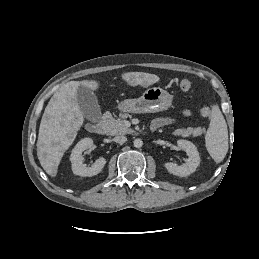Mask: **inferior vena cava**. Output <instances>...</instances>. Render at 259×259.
I'll list each match as a JSON object with an SVG mask.
<instances>
[{
  "mask_svg": "<svg viewBox=\"0 0 259 259\" xmlns=\"http://www.w3.org/2000/svg\"><path fill=\"white\" fill-rule=\"evenodd\" d=\"M114 141L119 144H123L127 141V138L123 135L114 137Z\"/></svg>",
  "mask_w": 259,
  "mask_h": 259,
  "instance_id": "obj_1",
  "label": "inferior vena cava"
}]
</instances>
